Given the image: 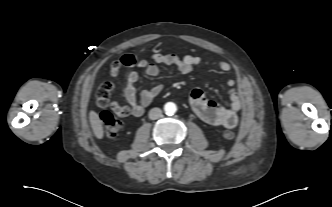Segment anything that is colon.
<instances>
[{"mask_svg":"<svg viewBox=\"0 0 332 207\" xmlns=\"http://www.w3.org/2000/svg\"><path fill=\"white\" fill-rule=\"evenodd\" d=\"M136 63V59L131 54L123 55L119 60L113 62L110 73L116 77L119 74L122 66H133ZM114 88L112 81L107 80L100 84L96 91V101L101 108H111V110L117 115H123L127 113V107L117 102L110 100V93ZM101 121L105 127V131L108 137L115 138L122 130V122L116 118L111 112L103 111L100 115ZM223 137L227 140H232L235 137V133L230 130H226L223 133Z\"/></svg>","mask_w":332,"mask_h":207,"instance_id":"colon-1","label":"colon"}]
</instances>
